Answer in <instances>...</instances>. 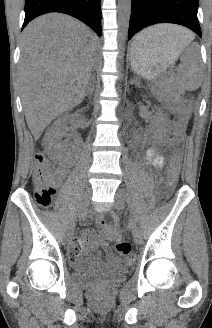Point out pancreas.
Here are the masks:
<instances>
[{"instance_id": "obj_1", "label": "pancreas", "mask_w": 212, "mask_h": 328, "mask_svg": "<svg viewBox=\"0 0 212 328\" xmlns=\"http://www.w3.org/2000/svg\"><path fill=\"white\" fill-rule=\"evenodd\" d=\"M166 88H167L168 90H173V89H174L173 80H170V81L168 82V85L166 86Z\"/></svg>"}]
</instances>
